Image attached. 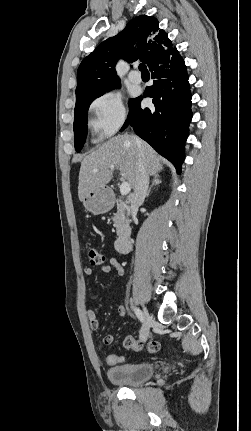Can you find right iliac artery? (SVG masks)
<instances>
[{
    "label": "right iliac artery",
    "instance_id": "82829eb1",
    "mask_svg": "<svg viewBox=\"0 0 251 431\" xmlns=\"http://www.w3.org/2000/svg\"><path fill=\"white\" fill-rule=\"evenodd\" d=\"M134 313L141 322L144 321V315L139 308H134Z\"/></svg>",
    "mask_w": 251,
    "mask_h": 431
}]
</instances>
